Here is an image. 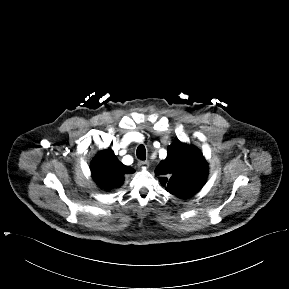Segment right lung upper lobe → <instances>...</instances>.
<instances>
[{
  "instance_id": "right-lung-upper-lobe-1",
  "label": "right lung upper lobe",
  "mask_w": 289,
  "mask_h": 289,
  "mask_svg": "<svg viewBox=\"0 0 289 289\" xmlns=\"http://www.w3.org/2000/svg\"><path fill=\"white\" fill-rule=\"evenodd\" d=\"M92 177L105 190L122 185L125 174L134 172V169L122 164L113 151L108 148L98 153L91 163Z\"/></svg>"
}]
</instances>
